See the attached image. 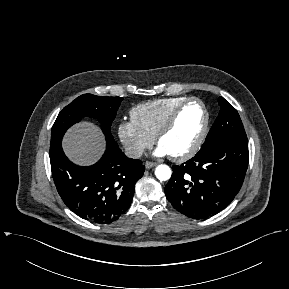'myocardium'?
<instances>
[{
    "label": "myocardium",
    "mask_w": 289,
    "mask_h": 289,
    "mask_svg": "<svg viewBox=\"0 0 289 289\" xmlns=\"http://www.w3.org/2000/svg\"><path fill=\"white\" fill-rule=\"evenodd\" d=\"M192 102H196L198 103L203 112H204V123L202 126V129L200 131V134L198 136V138L196 139V141L194 142V144L185 152L180 153V154H174V155H170V157L178 162L181 161H185L188 160L190 158H192L201 148L202 144L205 141V138L207 136L208 130H209V125H210V113L207 109V106L205 105V103L197 97H188L186 98L183 102H181L175 109L174 111L171 113V115L169 116V118L166 120V122L164 123V125L161 127V129L158 131L157 135H156V142L157 144L160 146V142L161 140L173 129V127L175 126L179 115L181 114L182 110L190 103Z\"/></svg>",
    "instance_id": "obj_1"
}]
</instances>
